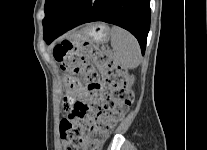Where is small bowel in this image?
Segmentation results:
<instances>
[{"label":"small bowel","instance_id":"1","mask_svg":"<svg viewBox=\"0 0 207 150\" xmlns=\"http://www.w3.org/2000/svg\"><path fill=\"white\" fill-rule=\"evenodd\" d=\"M76 98L86 99L87 95L81 84L78 82V80L75 79V87H68L67 99H76Z\"/></svg>","mask_w":207,"mask_h":150}]
</instances>
